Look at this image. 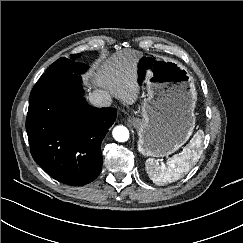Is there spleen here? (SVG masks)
Listing matches in <instances>:
<instances>
[{
  "label": "spleen",
  "mask_w": 243,
  "mask_h": 243,
  "mask_svg": "<svg viewBox=\"0 0 243 243\" xmlns=\"http://www.w3.org/2000/svg\"><path fill=\"white\" fill-rule=\"evenodd\" d=\"M204 133L199 130L189 144L179 153L169 158L167 165L159 164L157 160L149 158L146 161V170L150 179L158 185L179 180L200 158L201 143Z\"/></svg>",
  "instance_id": "1"
}]
</instances>
